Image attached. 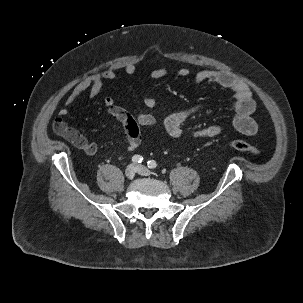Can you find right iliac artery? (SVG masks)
I'll use <instances>...</instances> for the list:
<instances>
[{"mask_svg":"<svg viewBox=\"0 0 303 303\" xmlns=\"http://www.w3.org/2000/svg\"><path fill=\"white\" fill-rule=\"evenodd\" d=\"M143 161V157L140 156V155H134L132 157V162L135 163V164H139Z\"/></svg>","mask_w":303,"mask_h":303,"instance_id":"right-iliac-artery-1","label":"right iliac artery"}]
</instances>
